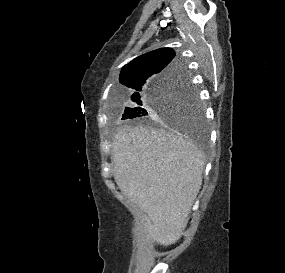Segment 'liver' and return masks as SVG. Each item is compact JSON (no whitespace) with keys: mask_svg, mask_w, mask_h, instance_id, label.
<instances>
[{"mask_svg":"<svg viewBox=\"0 0 285 273\" xmlns=\"http://www.w3.org/2000/svg\"><path fill=\"white\" fill-rule=\"evenodd\" d=\"M112 157L118 188L152 222L148 235L176 243L201 188L204 154L173 132L125 126L113 138Z\"/></svg>","mask_w":285,"mask_h":273,"instance_id":"1","label":"liver"}]
</instances>
